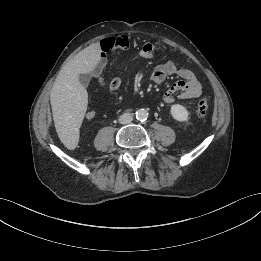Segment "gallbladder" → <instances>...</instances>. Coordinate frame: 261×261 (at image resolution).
<instances>
[{"label": "gallbladder", "mask_w": 261, "mask_h": 261, "mask_svg": "<svg viewBox=\"0 0 261 261\" xmlns=\"http://www.w3.org/2000/svg\"><path fill=\"white\" fill-rule=\"evenodd\" d=\"M90 79L91 75L89 73L79 75V82L85 87L88 86Z\"/></svg>", "instance_id": "bac80fb5"}]
</instances>
